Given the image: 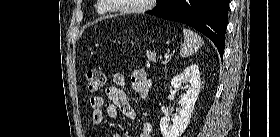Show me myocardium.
I'll return each instance as SVG.
<instances>
[{
  "label": "myocardium",
  "mask_w": 280,
  "mask_h": 137,
  "mask_svg": "<svg viewBox=\"0 0 280 137\" xmlns=\"http://www.w3.org/2000/svg\"><path fill=\"white\" fill-rule=\"evenodd\" d=\"M107 2V0H104ZM154 2V0H141V4L136 5V6H130V7H126V8H121V9H115L113 5L108 4L107 6L110 9H114L117 12H120L122 14H136V13H140L143 12L147 9H149V7L151 6V4Z\"/></svg>",
  "instance_id": "f54148a6"
}]
</instances>
